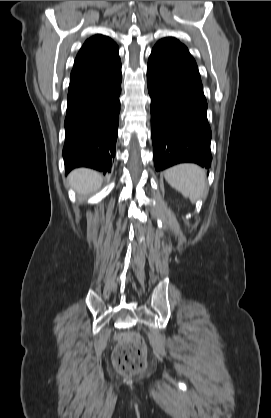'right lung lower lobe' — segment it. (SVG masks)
<instances>
[{"label":"right lung lower lobe","mask_w":271,"mask_h":418,"mask_svg":"<svg viewBox=\"0 0 271 418\" xmlns=\"http://www.w3.org/2000/svg\"><path fill=\"white\" fill-rule=\"evenodd\" d=\"M121 61L68 91L63 157L66 173L76 167L111 171L121 93Z\"/></svg>","instance_id":"obj_1"}]
</instances>
